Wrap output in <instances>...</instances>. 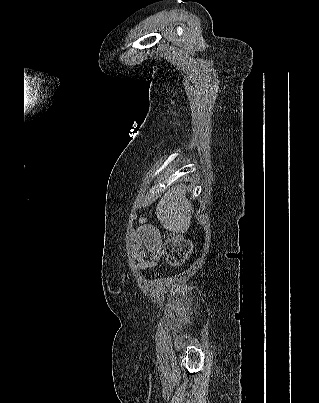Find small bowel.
Instances as JSON below:
<instances>
[{
	"instance_id": "c3829d8e",
	"label": "small bowel",
	"mask_w": 319,
	"mask_h": 403,
	"mask_svg": "<svg viewBox=\"0 0 319 403\" xmlns=\"http://www.w3.org/2000/svg\"><path fill=\"white\" fill-rule=\"evenodd\" d=\"M140 238L142 239V237L140 236ZM134 253H136L139 262L136 266L137 269H146V268H152L155 267L157 265V263L155 261H153L150 255V252L147 248H138L137 244L133 247ZM151 258L147 259V258Z\"/></svg>"
}]
</instances>
